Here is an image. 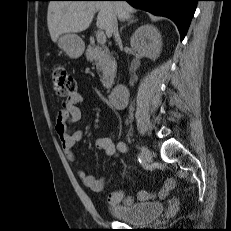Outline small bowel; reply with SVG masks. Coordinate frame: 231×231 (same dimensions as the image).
<instances>
[{"label":"small bowel","mask_w":231,"mask_h":231,"mask_svg":"<svg viewBox=\"0 0 231 231\" xmlns=\"http://www.w3.org/2000/svg\"><path fill=\"white\" fill-rule=\"evenodd\" d=\"M81 102L82 96L79 93H75L74 95L68 97L63 103L62 107L59 109L55 121V132L60 140L62 149L67 159L71 162L76 160L74 146L82 139L83 133L80 130H70L69 124L78 122L81 119L82 113L79 107ZM94 145L98 150L105 152L108 156L118 155V144L116 146L112 135L96 138ZM77 174L84 185L92 191L100 192L104 189V179L95 178L84 170H79ZM174 186V179L166 178L157 191L153 193H148L145 191L139 192L137 195V200L144 201L156 198L162 199L168 195ZM132 201L133 199L131 197H125L123 191L112 192L107 197V203L110 206H116L121 202L129 203Z\"/></svg>","instance_id":"small-bowel-1"}]
</instances>
